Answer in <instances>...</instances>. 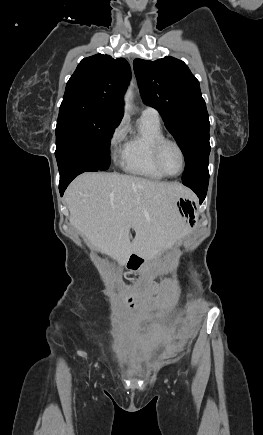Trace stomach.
<instances>
[{
  "label": "stomach",
  "instance_id": "0dacf381",
  "mask_svg": "<svg viewBox=\"0 0 263 435\" xmlns=\"http://www.w3.org/2000/svg\"><path fill=\"white\" fill-rule=\"evenodd\" d=\"M176 205L181 217L186 222L193 223L197 217L194 197L189 192L186 195H181L177 199ZM184 231L186 233H193L195 231V226L193 224H186L184 226ZM126 265L130 270L141 271V274H144V272L152 266V263L148 262L146 258L133 253L129 256Z\"/></svg>",
  "mask_w": 263,
  "mask_h": 435
}]
</instances>
